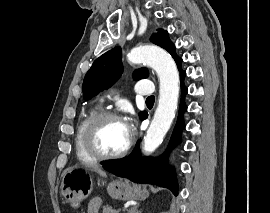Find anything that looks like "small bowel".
<instances>
[{
  "instance_id": "small-bowel-1",
  "label": "small bowel",
  "mask_w": 270,
  "mask_h": 213,
  "mask_svg": "<svg viewBox=\"0 0 270 213\" xmlns=\"http://www.w3.org/2000/svg\"><path fill=\"white\" fill-rule=\"evenodd\" d=\"M99 209H100V202L94 199L89 202L87 213H99Z\"/></svg>"
}]
</instances>
